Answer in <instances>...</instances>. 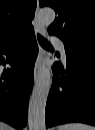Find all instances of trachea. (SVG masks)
I'll use <instances>...</instances> for the list:
<instances>
[{
    "label": "trachea",
    "instance_id": "obj_1",
    "mask_svg": "<svg viewBox=\"0 0 95 130\" xmlns=\"http://www.w3.org/2000/svg\"><path fill=\"white\" fill-rule=\"evenodd\" d=\"M37 37H38V41H39L41 46L51 47V44L47 40H45L41 35H38Z\"/></svg>",
    "mask_w": 95,
    "mask_h": 130
}]
</instances>
